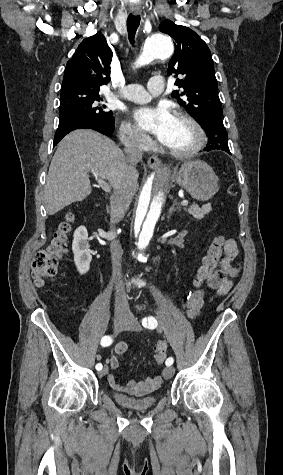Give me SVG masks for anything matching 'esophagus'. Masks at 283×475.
Segmentation results:
<instances>
[{
	"label": "esophagus",
	"mask_w": 283,
	"mask_h": 475,
	"mask_svg": "<svg viewBox=\"0 0 283 475\" xmlns=\"http://www.w3.org/2000/svg\"><path fill=\"white\" fill-rule=\"evenodd\" d=\"M132 13L134 15H139L141 13V10H133ZM162 165V162L156 155H151L148 158V166L150 167H160Z\"/></svg>",
	"instance_id": "1"
}]
</instances>
